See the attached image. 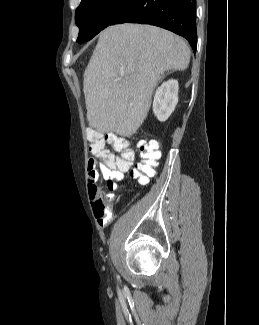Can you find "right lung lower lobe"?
I'll return each instance as SVG.
<instances>
[{
  "label": "right lung lower lobe",
  "instance_id": "obj_1",
  "mask_svg": "<svg viewBox=\"0 0 259 325\" xmlns=\"http://www.w3.org/2000/svg\"><path fill=\"white\" fill-rule=\"evenodd\" d=\"M126 22L168 29L197 47L196 0H127L110 25Z\"/></svg>",
  "mask_w": 259,
  "mask_h": 325
}]
</instances>
